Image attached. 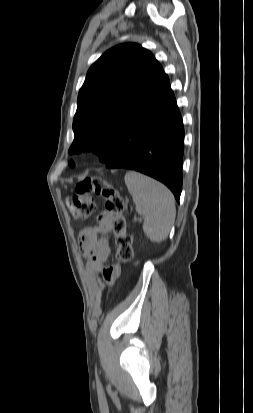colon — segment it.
Instances as JSON below:
<instances>
[{
	"label": "colon",
	"instance_id": "colon-1",
	"mask_svg": "<svg viewBox=\"0 0 253 413\" xmlns=\"http://www.w3.org/2000/svg\"><path fill=\"white\" fill-rule=\"evenodd\" d=\"M93 194L104 198L106 209L114 216L117 262L120 264L130 262L133 258V241L126 231L125 203L112 184L100 177H88L79 181L75 193L68 201L73 217L77 220H85L92 216L96 208Z\"/></svg>",
	"mask_w": 253,
	"mask_h": 413
}]
</instances>
